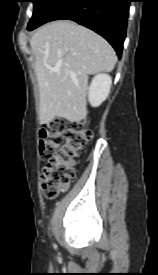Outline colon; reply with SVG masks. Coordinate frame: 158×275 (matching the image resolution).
Masks as SVG:
<instances>
[{"mask_svg": "<svg viewBox=\"0 0 158 275\" xmlns=\"http://www.w3.org/2000/svg\"><path fill=\"white\" fill-rule=\"evenodd\" d=\"M91 139V130L62 119H54L40 130L38 149L45 162L41 173L45 197L56 198L70 186L75 178L77 158Z\"/></svg>", "mask_w": 158, "mask_h": 275, "instance_id": "obj_1", "label": "colon"}]
</instances>
